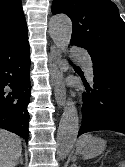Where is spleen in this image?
Instances as JSON below:
<instances>
[{
  "instance_id": "spleen-1",
  "label": "spleen",
  "mask_w": 125,
  "mask_h": 167,
  "mask_svg": "<svg viewBox=\"0 0 125 167\" xmlns=\"http://www.w3.org/2000/svg\"><path fill=\"white\" fill-rule=\"evenodd\" d=\"M89 138H91V135L90 134H87V135H84L82 136L79 140H78V143H77V146H81L85 141H87ZM121 167H125V163H122L121 164Z\"/></svg>"
}]
</instances>
